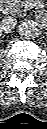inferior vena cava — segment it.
Returning a JSON list of instances; mask_svg holds the SVG:
<instances>
[{
    "mask_svg": "<svg viewBox=\"0 0 47 129\" xmlns=\"http://www.w3.org/2000/svg\"><path fill=\"white\" fill-rule=\"evenodd\" d=\"M17 24V20L13 17H7L2 20L1 22V31L8 33L11 32V30L14 28V26Z\"/></svg>",
    "mask_w": 47,
    "mask_h": 129,
    "instance_id": "inferior-vena-cava-1",
    "label": "inferior vena cava"
}]
</instances>
